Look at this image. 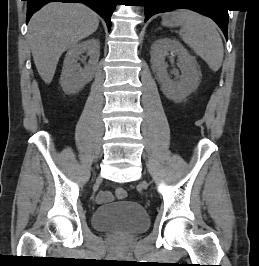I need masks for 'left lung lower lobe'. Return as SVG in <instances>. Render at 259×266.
<instances>
[{"instance_id":"0a47b994","label":"left lung lower lobe","mask_w":259,"mask_h":266,"mask_svg":"<svg viewBox=\"0 0 259 266\" xmlns=\"http://www.w3.org/2000/svg\"><path fill=\"white\" fill-rule=\"evenodd\" d=\"M216 2L217 0H196L192 2H186L185 0H141L142 5L145 6V21L154 14L168 12L173 8L190 9L188 6H197L191 9L212 18L221 28L227 39L228 10L214 8L212 4Z\"/></svg>"}]
</instances>
